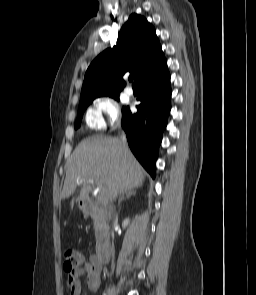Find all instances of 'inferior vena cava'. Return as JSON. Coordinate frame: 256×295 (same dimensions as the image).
Returning <instances> with one entry per match:
<instances>
[{
	"mask_svg": "<svg viewBox=\"0 0 256 295\" xmlns=\"http://www.w3.org/2000/svg\"><path fill=\"white\" fill-rule=\"evenodd\" d=\"M121 140H122L123 145L126 146V137L124 134H122Z\"/></svg>",
	"mask_w": 256,
	"mask_h": 295,
	"instance_id": "obj_1",
	"label": "inferior vena cava"
}]
</instances>
